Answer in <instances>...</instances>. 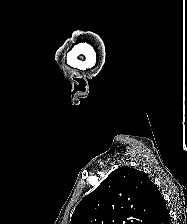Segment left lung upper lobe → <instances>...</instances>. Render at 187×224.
<instances>
[{"label": "left lung upper lobe", "instance_id": "5c2ea615", "mask_svg": "<svg viewBox=\"0 0 187 224\" xmlns=\"http://www.w3.org/2000/svg\"><path fill=\"white\" fill-rule=\"evenodd\" d=\"M162 200L145 172L123 166L80 201L70 224H149Z\"/></svg>", "mask_w": 187, "mask_h": 224}]
</instances>
